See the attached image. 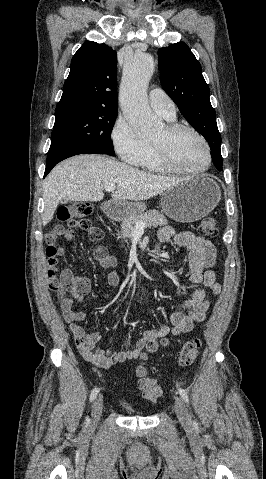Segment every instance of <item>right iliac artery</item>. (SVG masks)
Listing matches in <instances>:
<instances>
[{"mask_svg":"<svg viewBox=\"0 0 266 479\" xmlns=\"http://www.w3.org/2000/svg\"><path fill=\"white\" fill-rule=\"evenodd\" d=\"M99 392V388H94L90 394V401H94L95 398L97 397V394Z\"/></svg>","mask_w":266,"mask_h":479,"instance_id":"1","label":"right iliac artery"}]
</instances>
